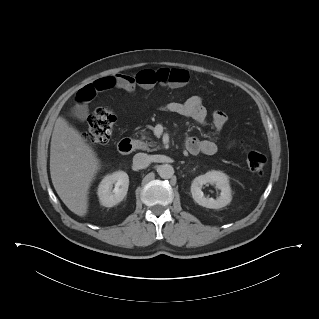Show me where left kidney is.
Returning <instances> with one entry per match:
<instances>
[{
	"label": "left kidney",
	"mask_w": 319,
	"mask_h": 319,
	"mask_svg": "<svg viewBox=\"0 0 319 319\" xmlns=\"http://www.w3.org/2000/svg\"><path fill=\"white\" fill-rule=\"evenodd\" d=\"M206 183L215 184L216 187L221 190L220 196L217 199L206 198L204 196L201 188ZM191 193L195 202L203 207L211 209L225 207L232 200L228 176L221 171L212 170L194 178L191 184Z\"/></svg>",
	"instance_id": "1"
}]
</instances>
